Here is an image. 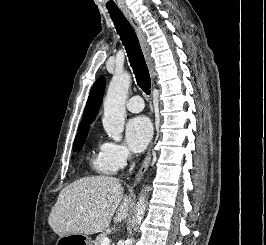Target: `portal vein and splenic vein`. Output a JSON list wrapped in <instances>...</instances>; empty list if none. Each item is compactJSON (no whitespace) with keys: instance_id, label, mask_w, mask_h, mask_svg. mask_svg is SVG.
<instances>
[{"instance_id":"portal-vein-and-splenic-vein-1","label":"portal vein and splenic vein","mask_w":266,"mask_h":245,"mask_svg":"<svg viewBox=\"0 0 266 245\" xmlns=\"http://www.w3.org/2000/svg\"><path fill=\"white\" fill-rule=\"evenodd\" d=\"M102 209H105V205H103ZM101 245H111L110 239H108V237H103V239H101Z\"/></svg>"}]
</instances>
